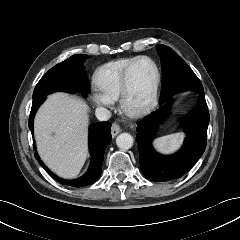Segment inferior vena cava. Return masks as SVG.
I'll use <instances>...</instances> for the list:
<instances>
[{
	"mask_svg": "<svg viewBox=\"0 0 240 240\" xmlns=\"http://www.w3.org/2000/svg\"><path fill=\"white\" fill-rule=\"evenodd\" d=\"M95 115L99 121H107L111 118V112L104 107H98Z\"/></svg>",
	"mask_w": 240,
	"mask_h": 240,
	"instance_id": "obj_1",
	"label": "inferior vena cava"
}]
</instances>
